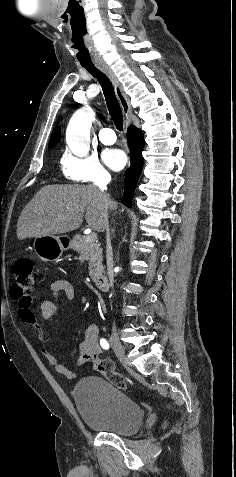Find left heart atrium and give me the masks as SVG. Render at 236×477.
Here are the masks:
<instances>
[{"label":"left heart atrium","instance_id":"1","mask_svg":"<svg viewBox=\"0 0 236 477\" xmlns=\"http://www.w3.org/2000/svg\"><path fill=\"white\" fill-rule=\"evenodd\" d=\"M105 163L113 170L122 169L126 162L127 156L124 151L120 149H109L103 154Z\"/></svg>","mask_w":236,"mask_h":477}]
</instances>
